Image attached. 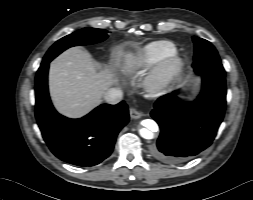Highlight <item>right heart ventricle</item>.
Returning a JSON list of instances; mask_svg holds the SVG:
<instances>
[{
    "label": "right heart ventricle",
    "instance_id": "e07e8e85",
    "mask_svg": "<svg viewBox=\"0 0 253 200\" xmlns=\"http://www.w3.org/2000/svg\"><path fill=\"white\" fill-rule=\"evenodd\" d=\"M173 52H176V46L172 42L166 40L153 41L135 51L129 66L136 69L149 68Z\"/></svg>",
    "mask_w": 253,
    "mask_h": 200
}]
</instances>
